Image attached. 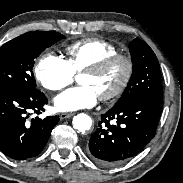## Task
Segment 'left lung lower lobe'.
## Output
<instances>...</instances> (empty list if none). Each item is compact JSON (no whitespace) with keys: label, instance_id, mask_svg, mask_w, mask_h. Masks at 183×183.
<instances>
[{"label":"left lung lower lobe","instance_id":"left-lung-lower-lobe-1","mask_svg":"<svg viewBox=\"0 0 183 183\" xmlns=\"http://www.w3.org/2000/svg\"><path fill=\"white\" fill-rule=\"evenodd\" d=\"M162 106V99L138 98L101 115L89 141L92 159L114 166L136 156L155 136Z\"/></svg>","mask_w":183,"mask_h":183}]
</instances>
